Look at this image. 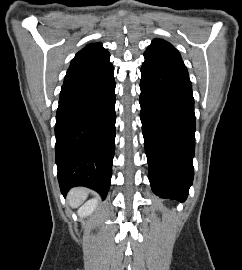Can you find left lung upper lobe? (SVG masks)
I'll use <instances>...</instances> for the list:
<instances>
[{
  "label": "left lung upper lobe",
  "mask_w": 242,
  "mask_h": 270,
  "mask_svg": "<svg viewBox=\"0 0 242 270\" xmlns=\"http://www.w3.org/2000/svg\"><path fill=\"white\" fill-rule=\"evenodd\" d=\"M145 59L175 62L184 65L180 53L169 42L154 39L144 53Z\"/></svg>",
  "instance_id": "left-lung-upper-lobe-1"
}]
</instances>
